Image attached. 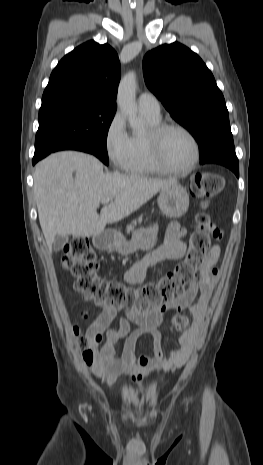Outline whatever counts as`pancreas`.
<instances>
[{
  "label": "pancreas",
  "mask_w": 263,
  "mask_h": 465,
  "mask_svg": "<svg viewBox=\"0 0 263 465\" xmlns=\"http://www.w3.org/2000/svg\"><path fill=\"white\" fill-rule=\"evenodd\" d=\"M143 221V217L140 216L137 220H134L131 225L127 226L126 231L127 233H130L134 229V227L137 225V223L141 224Z\"/></svg>",
  "instance_id": "obj_1"
}]
</instances>
